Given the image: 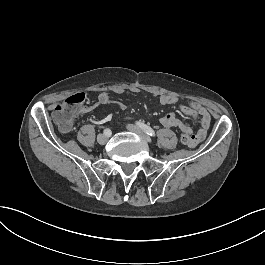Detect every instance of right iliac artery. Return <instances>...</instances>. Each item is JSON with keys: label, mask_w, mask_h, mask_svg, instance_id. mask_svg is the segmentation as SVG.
Segmentation results:
<instances>
[{"label": "right iliac artery", "mask_w": 265, "mask_h": 265, "mask_svg": "<svg viewBox=\"0 0 265 265\" xmlns=\"http://www.w3.org/2000/svg\"><path fill=\"white\" fill-rule=\"evenodd\" d=\"M104 134L107 135L108 137L111 136V131L109 129L104 130Z\"/></svg>", "instance_id": "obj_1"}]
</instances>
